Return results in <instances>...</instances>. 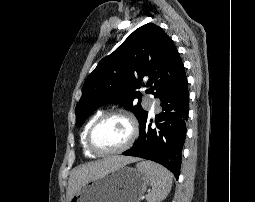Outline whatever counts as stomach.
Wrapping results in <instances>:
<instances>
[{"label":"stomach","instance_id":"stomach-1","mask_svg":"<svg viewBox=\"0 0 255 202\" xmlns=\"http://www.w3.org/2000/svg\"><path fill=\"white\" fill-rule=\"evenodd\" d=\"M148 185L143 172L121 166L83 184L69 202H139Z\"/></svg>","mask_w":255,"mask_h":202}]
</instances>
